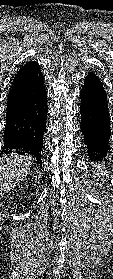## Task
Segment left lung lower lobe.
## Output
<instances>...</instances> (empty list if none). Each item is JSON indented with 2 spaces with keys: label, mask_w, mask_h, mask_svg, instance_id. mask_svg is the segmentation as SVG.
Listing matches in <instances>:
<instances>
[{
  "label": "left lung lower lobe",
  "mask_w": 113,
  "mask_h": 279,
  "mask_svg": "<svg viewBox=\"0 0 113 279\" xmlns=\"http://www.w3.org/2000/svg\"><path fill=\"white\" fill-rule=\"evenodd\" d=\"M81 131L91 159L100 160L109 152L111 135L107 94L99 77L88 73L80 91Z\"/></svg>",
  "instance_id": "1"
}]
</instances>
